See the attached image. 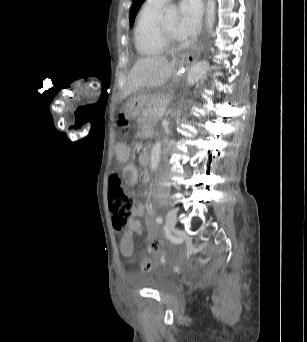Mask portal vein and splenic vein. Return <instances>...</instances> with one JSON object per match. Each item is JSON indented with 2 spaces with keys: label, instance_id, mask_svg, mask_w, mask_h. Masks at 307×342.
<instances>
[{
  "label": "portal vein and splenic vein",
  "instance_id": "obj_1",
  "mask_svg": "<svg viewBox=\"0 0 307 342\" xmlns=\"http://www.w3.org/2000/svg\"><path fill=\"white\" fill-rule=\"evenodd\" d=\"M160 109H161L162 111H165L167 108H166L165 106H162Z\"/></svg>",
  "mask_w": 307,
  "mask_h": 342
}]
</instances>
